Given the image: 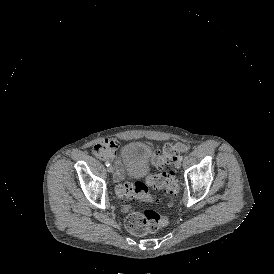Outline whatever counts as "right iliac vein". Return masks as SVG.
Instances as JSON below:
<instances>
[{
	"mask_svg": "<svg viewBox=\"0 0 274 274\" xmlns=\"http://www.w3.org/2000/svg\"><path fill=\"white\" fill-rule=\"evenodd\" d=\"M107 171H108L109 173H112V172L114 171L113 166H112V165L108 166Z\"/></svg>",
	"mask_w": 274,
	"mask_h": 274,
	"instance_id": "right-iliac-vein-1",
	"label": "right iliac vein"
}]
</instances>
